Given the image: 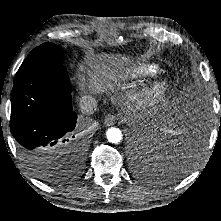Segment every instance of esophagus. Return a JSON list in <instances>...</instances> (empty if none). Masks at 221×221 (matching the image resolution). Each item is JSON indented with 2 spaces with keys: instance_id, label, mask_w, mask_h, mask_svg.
<instances>
[{
  "instance_id": "esophagus-1",
  "label": "esophagus",
  "mask_w": 221,
  "mask_h": 221,
  "mask_svg": "<svg viewBox=\"0 0 221 221\" xmlns=\"http://www.w3.org/2000/svg\"><path fill=\"white\" fill-rule=\"evenodd\" d=\"M104 123H105V125H107V126L113 125V124L115 123V115H113V114H108V115L105 117Z\"/></svg>"
}]
</instances>
